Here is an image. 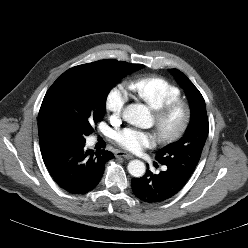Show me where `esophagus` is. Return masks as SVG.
Listing matches in <instances>:
<instances>
[{
	"label": "esophagus",
	"instance_id": "esophagus-1",
	"mask_svg": "<svg viewBox=\"0 0 248 248\" xmlns=\"http://www.w3.org/2000/svg\"><path fill=\"white\" fill-rule=\"evenodd\" d=\"M116 157H123L125 159H132L133 156L127 152L124 151H118L117 153H115Z\"/></svg>",
	"mask_w": 248,
	"mask_h": 248
}]
</instances>
